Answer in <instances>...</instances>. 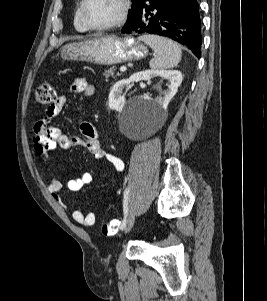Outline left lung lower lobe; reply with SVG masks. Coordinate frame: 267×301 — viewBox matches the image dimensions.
I'll return each mask as SVG.
<instances>
[{
	"instance_id": "obj_1",
	"label": "left lung lower lobe",
	"mask_w": 267,
	"mask_h": 301,
	"mask_svg": "<svg viewBox=\"0 0 267 301\" xmlns=\"http://www.w3.org/2000/svg\"><path fill=\"white\" fill-rule=\"evenodd\" d=\"M122 32L169 37L200 58L201 20L197 0H145L135 20Z\"/></svg>"
}]
</instances>
